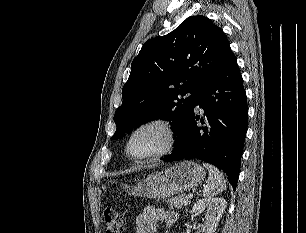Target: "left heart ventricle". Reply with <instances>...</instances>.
Wrapping results in <instances>:
<instances>
[{"instance_id": "1", "label": "left heart ventricle", "mask_w": 306, "mask_h": 233, "mask_svg": "<svg viewBox=\"0 0 306 233\" xmlns=\"http://www.w3.org/2000/svg\"><path fill=\"white\" fill-rule=\"evenodd\" d=\"M165 143V132L160 127L149 126L134 135L129 151L134 157H143L160 151Z\"/></svg>"}]
</instances>
